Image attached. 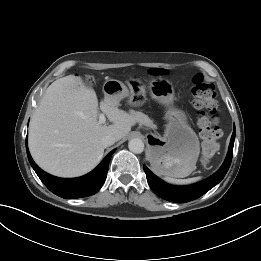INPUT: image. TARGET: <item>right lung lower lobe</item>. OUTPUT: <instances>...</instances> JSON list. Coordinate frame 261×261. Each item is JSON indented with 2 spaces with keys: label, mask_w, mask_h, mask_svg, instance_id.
<instances>
[{
  "label": "right lung lower lobe",
  "mask_w": 261,
  "mask_h": 261,
  "mask_svg": "<svg viewBox=\"0 0 261 261\" xmlns=\"http://www.w3.org/2000/svg\"><path fill=\"white\" fill-rule=\"evenodd\" d=\"M26 151L31 166L40 180L51 192L65 199H75L93 195L100 190L105 182L109 161L115 149L112 150L93 171L82 177L71 179L58 178L40 169L29 153L27 139Z\"/></svg>",
  "instance_id": "right-lung-lower-lobe-1"
}]
</instances>
